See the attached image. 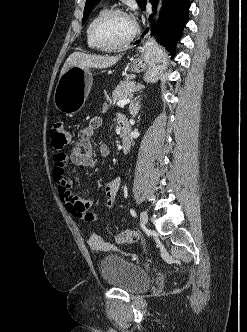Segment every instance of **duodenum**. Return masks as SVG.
<instances>
[{"label": "duodenum", "instance_id": "obj_1", "mask_svg": "<svg viewBox=\"0 0 247 332\" xmlns=\"http://www.w3.org/2000/svg\"><path fill=\"white\" fill-rule=\"evenodd\" d=\"M118 124L121 130V148L123 153H128L131 148V137L129 134V126L126 117L120 115Z\"/></svg>", "mask_w": 247, "mask_h": 332}]
</instances>
